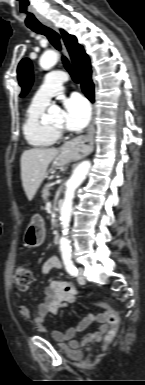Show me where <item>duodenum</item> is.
Wrapping results in <instances>:
<instances>
[{"instance_id":"duodenum-1","label":"duodenum","mask_w":145,"mask_h":385,"mask_svg":"<svg viewBox=\"0 0 145 385\" xmlns=\"http://www.w3.org/2000/svg\"><path fill=\"white\" fill-rule=\"evenodd\" d=\"M53 241L55 244H58L60 242V235L59 232H55L53 236Z\"/></svg>"}]
</instances>
